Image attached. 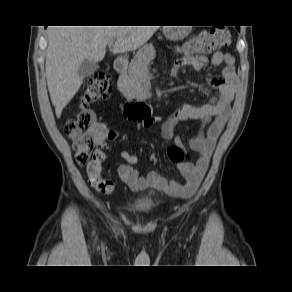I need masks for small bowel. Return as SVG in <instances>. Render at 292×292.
<instances>
[{"mask_svg": "<svg viewBox=\"0 0 292 292\" xmlns=\"http://www.w3.org/2000/svg\"><path fill=\"white\" fill-rule=\"evenodd\" d=\"M207 62L208 59L203 55H185L175 60L170 69V74L177 76L184 67L201 70ZM211 63L215 66L224 64L222 75L209 79V84L217 91V94L202 105H182L162 126L163 136L166 139H172L173 130L179 122L193 120L202 122V129L188 141L190 149L197 153L196 162L177 164V168L180 170L184 182L180 183L174 179L166 178L156 171L142 175L134 167L138 163V156L128 151H121L120 156L125 162L119 165L118 175L130 189L142 191L148 188H156L176 197L188 198L199 187L207 171L216 142L230 117L231 103L237 84L234 58L232 55L217 51L212 55ZM152 122L153 119H147L144 125L148 126ZM115 137V132H110L103 128L96 139V145L101 150ZM175 143L179 147L182 146L179 138H175Z\"/></svg>", "mask_w": 292, "mask_h": 292, "instance_id": "c3829d8e", "label": "small bowel"}]
</instances>
